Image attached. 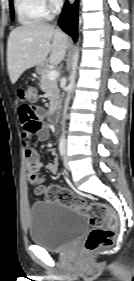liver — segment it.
<instances>
[{"label": "liver", "instance_id": "obj_1", "mask_svg": "<svg viewBox=\"0 0 134 281\" xmlns=\"http://www.w3.org/2000/svg\"><path fill=\"white\" fill-rule=\"evenodd\" d=\"M68 37L60 29L45 22H31L11 31L7 43V68L12 83L24 71L49 63L58 65L68 48Z\"/></svg>", "mask_w": 134, "mask_h": 281}]
</instances>
